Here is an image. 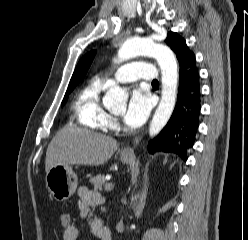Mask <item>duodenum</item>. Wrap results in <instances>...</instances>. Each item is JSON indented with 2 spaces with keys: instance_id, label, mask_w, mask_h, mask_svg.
I'll use <instances>...</instances> for the list:
<instances>
[{
  "instance_id": "obj_1",
  "label": "duodenum",
  "mask_w": 248,
  "mask_h": 240,
  "mask_svg": "<svg viewBox=\"0 0 248 240\" xmlns=\"http://www.w3.org/2000/svg\"><path fill=\"white\" fill-rule=\"evenodd\" d=\"M93 230L100 240H112V234L109 228L99 224Z\"/></svg>"
}]
</instances>
